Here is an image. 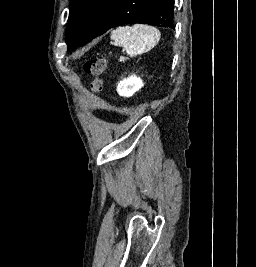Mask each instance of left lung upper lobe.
I'll return each instance as SVG.
<instances>
[{"label":"left lung upper lobe","mask_w":256,"mask_h":267,"mask_svg":"<svg viewBox=\"0 0 256 267\" xmlns=\"http://www.w3.org/2000/svg\"><path fill=\"white\" fill-rule=\"evenodd\" d=\"M173 7L174 0H71L68 51L119 25L144 23L175 29Z\"/></svg>","instance_id":"obj_1"}]
</instances>
